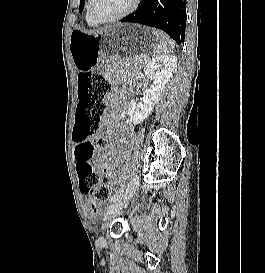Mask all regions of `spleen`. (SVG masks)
<instances>
[{
  "mask_svg": "<svg viewBox=\"0 0 265 273\" xmlns=\"http://www.w3.org/2000/svg\"><path fill=\"white\" fill-rule=\"evenodd\" d=\"M154 40L156 41L155 53L157 55H166L173 50V42L163 32L153 30Z\"/></svg>",
  "mask_w": 265,
  "mask_h": 273,
  "instance_id": "spleen-1",
  "label": "spleen"
}]
</instances>
